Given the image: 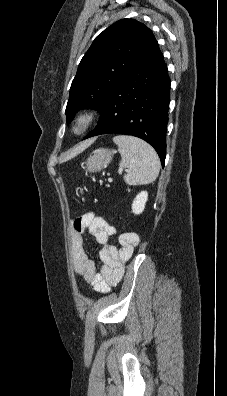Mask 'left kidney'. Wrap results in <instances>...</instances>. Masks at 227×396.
Here are the masks:
<instances>
[{"label": "left kidney", "mask_w": 227, "mask_h": 396, "mask_svg": "<svg viewBox=\"0 0 227 396\" xmlns=\"http://www.w3.org/2000/svg\"><path fill=\"white\" fill-rule=\"evenodd\" d=\"M147 200L148 193L146 191L140 192L132 203V212L136 215L141 214L144 211Z\"/></svg>", "instance_id": "obj_1"}]
</instances>
